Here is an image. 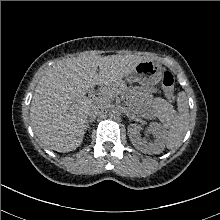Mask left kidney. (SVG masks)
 Masks as SVG:
<instances>
[{
    "label": "left kidney",
    "mask_w": 220,
    "mask_h": 220,
    "mask_svg": "<svg viewBox=\"0 0 220 220\" xmlns=\"http://www.w3.org/2000/svg\"><path fill=\"white\" fill-rule=\"evenodd\" d=\"M149 130L156 138L153 142L147 143L141 139V126L138 124H130L128 127L129 138L132 144L139 150L147 154H160L165 147V139L167 135L166 129L157 122H152L149 125Z\"/></svg>",
    "instance_id": "obj_1"
}]
</instances>
